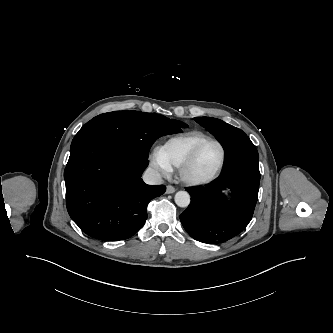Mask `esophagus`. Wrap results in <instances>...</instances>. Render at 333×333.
<instances>
[{"label": "esophagus", "instance_id": "esophagus-1", "mask_svg": "<svg viewBox=\"0 0 333 333\" xmlns=\"http://www.w3.org/2000/svg\"><path fill=\"white\" fill-rule=\"evenodd\" d=\"M175 191H176V189L173 186H171V185H168L167 188H166V193L167 194H172Z\"/></svg>", "mask_w": 333, "mask_h": 333}]
</instances>
